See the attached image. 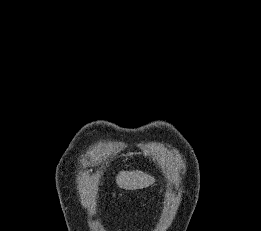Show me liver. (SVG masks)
<instances>
[{
    "label": "liver",
    "instance_id": "6515ba94",
    "mask_svg": "<svg viewBox=\"0 0 261 231\" xmlns=\"http://www.w3.org/2000/svg\"><path fill=\"white\" fill-rule=\"evenodd\" d=\"M116 182L122 189L137 190L152 185L155 179L142 171H122L117 175Z\"/></svg>",
    "mask_w": 261,
    "mask_h": 231
}]
</instances>
